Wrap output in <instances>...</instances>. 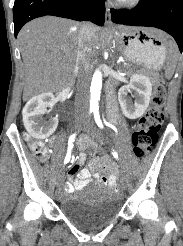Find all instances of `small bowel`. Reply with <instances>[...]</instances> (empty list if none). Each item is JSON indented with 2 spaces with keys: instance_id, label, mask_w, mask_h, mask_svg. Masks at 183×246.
Here are the masks:
<instances>
[{
  "instance_id": "1",
  "label": "small bowel",
  "mask_w": 183,
  "mask_h": 246,
  "mask_svg": "<svg viewBox=\"0 0 183 246\" xmlns=\"http://www.w3.org/2000/svg\"><path fill=\"white\" fill-rule=\"evenodd\" d=\"M84 161L85 154L82 152L79 156L78 162L69 169V176L77 174V178L64 188L65 193H72L75 190H80L93 181L100 182L111 187L112 191L116 190V187L114 186L116 182V174L114 172V167L111 164H109L110 173L106 176H102L96 163L91 164L88 168L81 169Z\"/></svg>"
}]
</instances>
